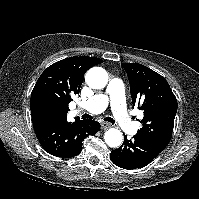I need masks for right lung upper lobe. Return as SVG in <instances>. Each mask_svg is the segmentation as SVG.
<instances>
[{"label":"right lung upper lobe","instance_id":"cb5924a9","mask_svg":"<svg viewBox=\"0 0 199 199\" xmlns=\"http://www.w3.org/2000/svg\"><path fill=\"white\" fill-rule=\"evenodd\" d=\"M96 57H69L49 66L39 77L31 93L32 122L67 121L68 104L79 93L85 72L102 63Z\"/></svg>","mask_w":199,"mask_h":199}]
</instances>
